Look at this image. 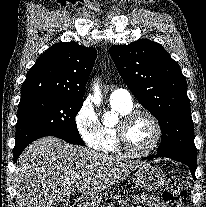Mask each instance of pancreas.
Returning a JSON list of instances; mask_svg holds the SVG:
<instances>
[{
  "label": "pancreas",
  "mask_w": 206,
  "mask_h": 207,
  "mask_svg": "<svg viewBox=\"0 0 206 207\" xmlns=\"http://www.w3.org/2000/svg\"><path fill=\"white\" fill-rule=\"evenodd\" d=\"M108 199H111L110 203H107ZM125 205H129L126 199L119 195H111L110 197L105 198V203L101 207H124Z\"/></svg>",
  "instance_id": "obj_1"
}]
</instances>
